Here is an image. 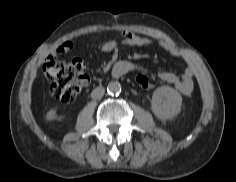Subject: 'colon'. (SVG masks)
Wrapping results in <instances>:
<instances>
[{
  "label": "colon",
  "mask_w": 236,
  "mask_h": 182,
  "mask_svg": "<svg viewBox=\"0 0 236 182\" xmlns=\"http://www.w3.org/2000/svg\"><path fill=\"white\" fill-rule=\"evenodd\" d=\"M44 74L49 82L53 97L65 103L72 102L88 82L85 65L82 61L66 62L59 59L55 54L46 59ZM133 79L141 89H150L153 86L144 73H135Z\"/></svg>",
  "instance_id": "5ec220e1"
}]
</instances>
